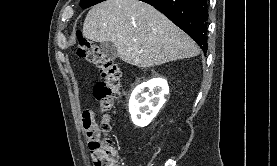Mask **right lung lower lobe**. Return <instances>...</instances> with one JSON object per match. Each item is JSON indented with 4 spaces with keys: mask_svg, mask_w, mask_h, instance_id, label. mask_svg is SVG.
<instances>
[{
    "mask_svg": "<svg viewBox=\"0 0 277 166\" xmlns=\"http://www.w3.org/2000/svg\"><path fill=\"white\" fill-rule=\"evenodd\" d=\"M165 14L207 52V0H141Z\"/></svg>",
    "mask_w": 277,
    "mask_h": 166,
    "instance_id": "right-lung-lower-lobe-1",
    "label": "right lung lower lobe"
}]
</instances>
